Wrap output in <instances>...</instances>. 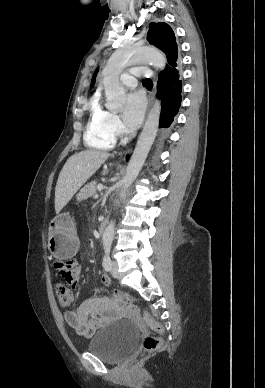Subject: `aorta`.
I'll return each instance as SVG.
<instances>
[{"label": "aorta", "mask_w": 265, "mask_h": 388, "mask_svg": "<svg viewBox=\"0 0 265 388\" xmlns=\"http://www.w3.org/2000/svg\"><path fill=\"white\" fill-rule=\"evenodd\" d=\"M135 63H149L163 70L167 62L165 56L154 48L142 47L132 50L116 51L103 70V82L107 99L106 107L108 109H118L123 106L126 93L120 84L119 76L126 66ZM160 113V100L157 99L153 104L135 150L127 165L126 175L123 179V191H126L136 179L147 158L158 131ZM114 234V222L111 221L103 233L102 241L104 246H111Z\"/></svg>", "instance_id": "obj_1"}]
</instances>
